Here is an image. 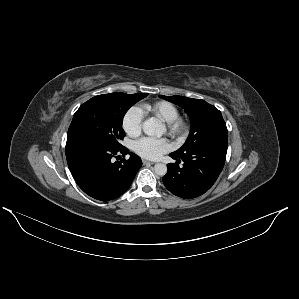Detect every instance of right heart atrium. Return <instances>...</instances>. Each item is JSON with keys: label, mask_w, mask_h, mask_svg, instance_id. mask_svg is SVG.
<instances>
[{"label": "right heart atrium", "mask_w": 299, "mask_h": 299, "mask_svg": "<svg viewBox=\"0 0 299 299\" xmlns=\"http://www.w3.org/2000/svg\"><path fill=\"white\" fill-rule=\"evenodd\" d=\"M142 120V110L138 107L131 108L123 118L125 132L131 137L138 136L142 130Z\"/></svg>", "instance_id": "right-heart-atrium-1"}]
</instances>
